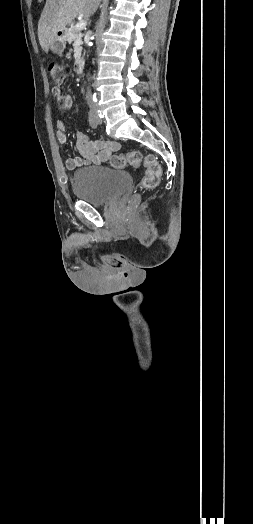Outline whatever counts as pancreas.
Returning a JSON list of instances; mask_svg holds the SVG:
<instances>
[{
  "label": "pancreas",
  "mask_w": 253,
  "mask_h": 524,
  "mask_svg": "<svg viewBox=\"0 0 253 524\" xmlns=\"http://www.w3.org/2000/svg\"><path fill=\"white\" fill-rule=\"evenodd\" d=\"M66 39L69 43L73 42L74 48L78 51L76 59H80V53L82 51V37L83 34L81 33L80 29H77L76 26L72 23L70 25V28L65 31Z\"/></svg>",
  "instance_id": "1"
}]
</instances>
